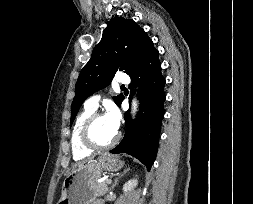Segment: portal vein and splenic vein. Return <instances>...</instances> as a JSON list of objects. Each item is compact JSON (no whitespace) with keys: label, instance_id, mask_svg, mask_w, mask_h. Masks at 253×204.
<instances>
[{"label":"portal vein and splenic vein","instance_id":"1","mask_svg":"<svg viewBox=\"0 0 253 204\" xmlns=\"http://www.w3.org/2000/svg\"><path fill=\"white\" fill-rule=\"evenodd\" d=\"M111 182H112V181H111L110 179H107V180H106V183H107V184H111Z\"/></svg>","mask_w":253,"mask_h":204}]
</instances>
